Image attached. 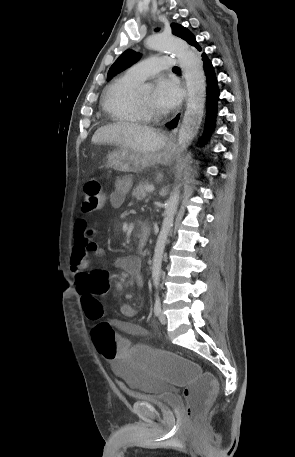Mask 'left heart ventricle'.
Wrapping results in <instances>:
<instances>
[{"label":"left heart ventricle","instance_id":"left-heart-ventricle-1","mask_svg":"<svg viewBox=\"0 0 295 457\" xmlns=\"http://www.w3.org/2000/svg\"><path fill=\"white\" fill-rule=\"evenodd\" d=\"M138 102L146 107L153 108L152 95L150 93L145 94L144 96L138 99Z\"/></svg>","mask_w":295,"mask_h":457}]
</instances>
